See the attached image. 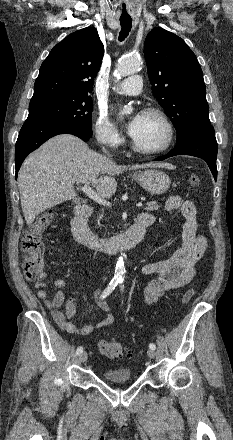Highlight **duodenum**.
<instances>
[{
	"label": "duodenum",
	"mask_w": 233,
	"mask_h": 440,
	"mask_svg": "<svg viewBox=\"0 0 233 440\" xmlns=\"http://www.w3.org/2000/svg\"><path fill=\"white\" fill-rule=\"evenodd\" d=\"M91 214L92 208L90 206L78 205L75 207L71 223L73 236L79 243L87 247L108 252H117L135 247L142 241L146 228L153 223L152 219L139 216L123 234L112 238H99L88 227V219Z\"/></svg>",
	"instance_id": "410a0bca"
}]
</instances>
